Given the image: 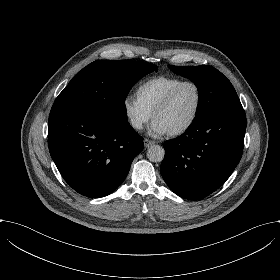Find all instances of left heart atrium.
I'll list each match as a JSON object with an SVG mask.
<instances>
[{
    "label": "left heart atrium",
    "mask_w": 280,
    "mask_h": 280,
    "mask_svg": "<svg viewBox=\"0 0 280 280\" xmlns=\"http://www.w3.org/2000/svg\"><path fill=\"white\" fill-rule=\"evenodd\" d=\"M170 132L169 127L159 118L154 119L149 129V135L153 137L164 136Z\"/></svg>",
    "instance_id": "39dd6f15"
}]
</instances>
